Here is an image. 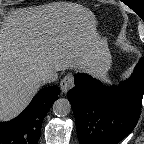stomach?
<instances>
[{
    "label": "stomach",
    "mask_w": 144,
    "mask_h": 144,
    "mask_svg": "<svg viewBox=\"0 0 144 144\" xmlns=\"http://www.w3.org/2000/svg\"><path fill=\"white\" fill-rule=\"evenodd\" d=\"M111 63H112V56L109 52L108 47H106L100 53L99 66H98L99 72H106L108 69H110Z\"/></svg>",
    "instance_id": "1"
}]
</instances>
